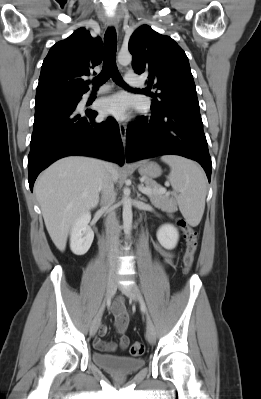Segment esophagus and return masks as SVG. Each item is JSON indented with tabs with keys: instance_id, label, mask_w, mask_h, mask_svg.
<instances>
[{
	"instance_id": "obj_1",
	"label": "esophagus",
	"mask_w": 261,
	"mask_h": 399,
	"mask_svg": "<svg viewBox=\"0 0 261 399\" xmlns=\"http://www.w3.org/2000/svg\"><path fill=\"white\" fill-rule=\"evenodd\" d=\"M108 25L110 27H114V28L117 29V20H116V18L114 16H112V17H110L108 19ZM118 124H119V130H120L121 139H122L123 144L125 145L126 130H127L126 124L124 122H122V121H120Z\"/></svg>"
}]
</instances>
